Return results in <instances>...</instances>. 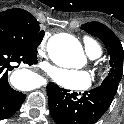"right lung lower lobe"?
<instances>
[{
  "mask_svg": "<svg viewBox=\"0 0 124 124\" xmlns=\"http://www.w3.org/2000/svg\"><path fill=\"white\" fill-rule=\"evenodd\" d=\"M36 53L0 45V120L11 117L21 106L26 95L12 89L8 74L20 64H36Z\"/></svg>",
  "mask_w": 124,
  "mask_h": 124,
  "instance_id": "1",
  "label": "right lung lower lobe"
}]
</instances>
